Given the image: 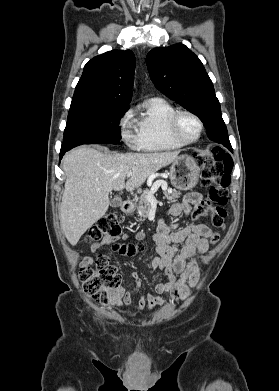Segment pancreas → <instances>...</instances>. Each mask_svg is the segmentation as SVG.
I'll use <instances>...</instances> for the list:
<instances>
[{
    "mask_svg": "<svg viewBox=\"0 0 279 391\" xmlns=\"http://www.w3.org/2000/svg\"><path fill=\"white\" fill-rule=\"evenodd\" d=\"M150 191L151 190H145L140 196L139 202L137 204L138 216L144 219L148 216L150 210V203L146 200L145 195ZM164 195L168 200L174 201L181 196V192L176 190L172 192L165 191Z\"/></svg>",
    "mask_w": 279,
    "mask_h": 391,
    "instance_id": "1",
    "label": "pancreas"
}]
</instances>
